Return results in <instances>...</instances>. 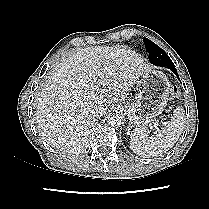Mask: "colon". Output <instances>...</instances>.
<instances>
[{"mask_svg": "<svg viewBox=\"0 0 209 209\" xmlns=\"http://www.w3.org/2000/svg\"><path fill=\"white\" fill-rule=\"evenodd\" d=\"M173 95H174V96H177V95H178V90H177V89H174Z\"/></svg>", "mask_w": 209, "mask_h": 209, "instance_id": "5ec220e1", "label": "colon"}]
</instances>
